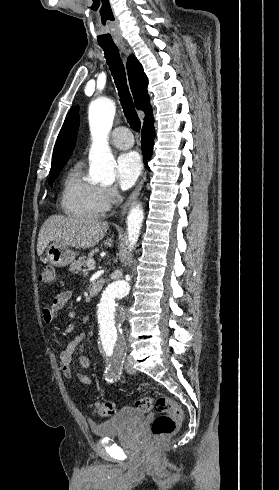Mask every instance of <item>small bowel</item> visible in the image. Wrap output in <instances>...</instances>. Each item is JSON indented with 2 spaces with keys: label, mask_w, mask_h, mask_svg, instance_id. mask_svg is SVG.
I'll use <instances>...</instances> for the list:
<instances>
[{
  "label": "small bowel",
  "mask_w": 279,
  "mask_h": 490,
  "mask_svg": "<svg viewBox=\"0 0 279 490\" xmlns=\"http://www.w3.org/2000/svg\"><path fill=\"white\" fill-rule=\"evenodd\" d=\"M71 297L72 293L70 291H61L57 293L55 297L45 306L42 312L43 321L46 323L53 321L57 313L69 303ZM89 321L90 318L88 316H83L82 322L84 324L89 323ZM84 341L85 335L78 334L72 341L69 342L67 347L61 351L59 359L63 374L66 378L70 379L73 377H77L81 382L85 384H92L93 381L90 378L76 372L73 367V356L83 345ZM80 363L83 366H86L88 364L85 358H80Z\"/></svg>",
  "instance_id": "obj_1"
}]
</instances>
